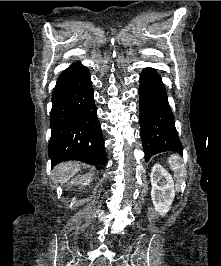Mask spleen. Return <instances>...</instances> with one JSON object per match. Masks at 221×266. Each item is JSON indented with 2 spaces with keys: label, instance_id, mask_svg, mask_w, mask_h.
I'll return each mask as SVG.
<instances>
[{
  "label": "spleen",
  "instance_id": "3e777b00",
  "mask_svg": "<svg viewBox=\"0 0 221 266\" xmlns=\"http://www.w3.org/2000/svg\"><path fill=\"white\" fill-rule=\"evenodd\" d=\"M169 164H170V167H171L172 171L174 172V175H175L176 179L179 182H182L183 181V177H184V168H183V165L180 162L179 157L177 155H172L169 158Z\"/></svg>",
  "mask_w": 221,
  "mask_h": 266
}]
</instances>
